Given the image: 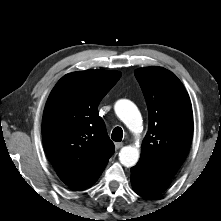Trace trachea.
<instances>
[{
    "mask_svg": "<svg viewBox=\"0 0 221 221\" xmlns=\"http://www.w3.org/2000/svg\"><path fill=\"white\" fill-rule=\"evenodd\" d=\"M111 138L115 142H119L123 138V130L120 127H115L112 131Z\"/></svg>",
    "mask_w": 221,
    "mask_h": 221,
    "instance_id": "3493384b",
    "label": "trachea"
}]
</instances>
